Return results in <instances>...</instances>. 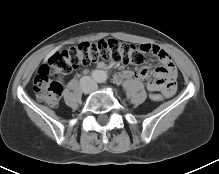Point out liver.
Here are the masks:
<instances>
[{
	"mask_svg": "<svg viewBox=\"0 0 219 174\" xmlns=\"http://www.w3.org/2000/svg\"><path fill=\"white\" fill-rule=\"evenodd\" d=\"M59 48H55L52 52H50L49 56L52 55L55 51H57Z\"/></svg>",
	"mask_w": 219,
	"mask_h": 174,
	"instance_id": "liver-1",
	"label": "liver"
}]
</instances>
